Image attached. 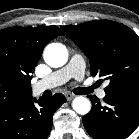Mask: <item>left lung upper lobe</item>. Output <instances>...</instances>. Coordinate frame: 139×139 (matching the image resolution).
Wrapping results in <instances>:
<instances>
[{
	"mask_svg": "<svg viewBox=\"0 0 139 139\" xmlns=\"http://www.w3.org/2000/svg\"><path fill=\"white\" fill-rule=\"evenodd\" d=\"M62 29L89 58L91 74L109 80L106 95L139 86V36L133 30L110 20Z\"/></svg>",
	"mask_w": 139,
	"mask_h": 139,
	"instance_id": "obj_1",
	"label": "left lung upper lobe"
}]
</instances>
